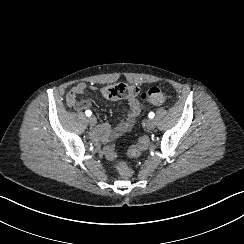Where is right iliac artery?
Segmentation results:
<instances>
[{
  "label": "right iliac artery",
  "mask_w": 244,
  "mask_h": 244,
  "mask_svg": "<svg viewBox=\"0 0 244 244\" xmlns=\"http://www.w3.org/2000/svg\"><path fill=\"white\" fill-rule=\"evenodd\" d=\"M85 114H86V116L89 117V116H91L92 112L90 110H86Z\"/></svg>",
  "instance_id": "82829eb1"
}]
</instances>
